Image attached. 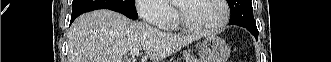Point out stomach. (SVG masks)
<instances>
[{"label":"stomach","mask_w":331,"mask_h":62,"mask_svg":"<svg viewBox=\"0 0 331 62\" xmlns=\"http://www.w3.org/2000/svg\"><path fill=\"white\" fill-rule=\"evenodd\" d=\"M229 45L221 38L210 35L199 44L201 62H226L230 56Z\"/></svg>","instance_id":"0dacf381"}]
</instances>
